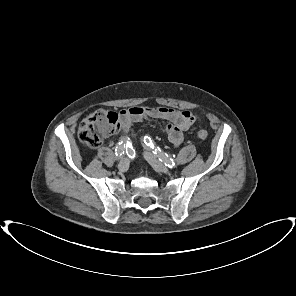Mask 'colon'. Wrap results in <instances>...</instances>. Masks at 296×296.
Returning <instances> with one entry per match:
<instances>
[{
	"mask_svg": "<svg viewBox=\"0 0 296 296\" xmlns=\"http://www.w3.org/2000/svg\"><path fill=\"white\" fill-rule=\"evenodd\" d=\"M119 129V115L114 111L97 110L86 117L78 129L79 139L91 148L101 145L105 136L115 133ZM197 137L205 140L208 137L206 130H199Z\"/></svg>",
	"mask_w": 296,
	"mask_h": 296,
	"instance_id": "colon-1",
	"label": "colon"
}]
</instances>
